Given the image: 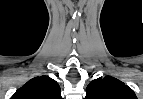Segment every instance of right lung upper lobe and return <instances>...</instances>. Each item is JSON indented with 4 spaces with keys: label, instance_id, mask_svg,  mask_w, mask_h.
<instances>
[{
    "label": "right lung upper lobe",
    "instance_id": "right-lung-upper-lobe-1",
    "mask_svg": "<svg viewBox=\"0 0 143 99\" xmlns=\"http://www.w3.org/2000/svg\"><path fill=\"white\" fill-rule=\"evenodd\" d=\"M11 99H62V97L60 86L54 79L40 76L29 80Z\"/></svg>",
    "mask_w": 143,
    "mask_h": 99
}]
</instances>
